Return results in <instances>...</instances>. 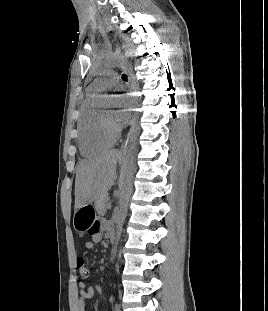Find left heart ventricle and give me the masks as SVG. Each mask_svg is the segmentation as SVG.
<instances>
[{
  "mask_svg": "<svg viewBox=\"0 0 268 311\" xmlns=\"http://www.w3.org/2000/svg\"><path fill=\"white\" fill-rule=\"evenodd\" d=\"M104 114H106L108 116H113L112 110H106V111H104Z\"/></svg>",
  "mask_w": 268,
  "mask_h": 311,
  "instance_id": "left-heart-ventricle-1",
  "label": "left heart ventricle"
}]
</instances>
